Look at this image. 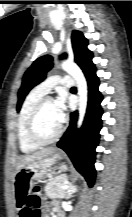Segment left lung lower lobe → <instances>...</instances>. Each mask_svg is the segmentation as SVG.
<instances>
[{
    "instance_id": "left-lung-lower-lobe-1",
    "label": "left lung lower lobe",
    "mask_w": 132,
    "mask_h": 217,
    "mask_svg": "<svg viewBox=\"0 0 132 217\" xmlns=\"http://www.w3.org/2000/svg\"><path fill=\"white\" fill-rule=\"evenodd\" d=\"M85 76L88 82V107L83 126L77 130L78 112L71 113L70 126L57 146L68 154L75 168L85 177L89 186H92L95 179V148L102 124V95L98 91L99 80L95 68Z\"/></svg>"
}]
</instances>
